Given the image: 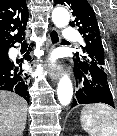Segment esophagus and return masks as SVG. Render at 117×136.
<instances>
[{"mask_svg": "<svg viewBox=\"0 0 117 136\" xmlns=\"http://www.w3.org/2000/svg\"><path fill=\"white\" fill-rule=\"evenodd\" d=\"M60 37L56 28H52L49 32V51H52L59 43ZM61 69L59 66H51L49 77L52 81H57L60 77Z\"/></svg>", "mask_w": 117, "mask_h": 136, "instance_id": "1", "label": "esophagus"}]
</instances>
